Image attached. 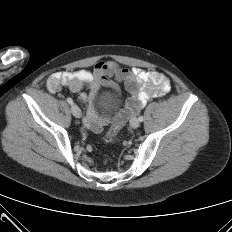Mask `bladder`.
Instances as JSON below:
<instances>
[{
  "instance_id": "bladder-1",
  "label": "bladder",
  "mask_w": 232,
  "mask_h": 232,
  "mask_svg": "<svg viewBox=\"0 0 232 232\" xmlns=\"http://www.w3.org/2000/svg\"><path fill=\"white\" fill-rule=\"evenodd\" d=\"M107 99L113 107H117L120 103V97L118 95L109 98L105 93H102L99 97V100L101 101H105Z\"/></svg>"
}]
</instances>
